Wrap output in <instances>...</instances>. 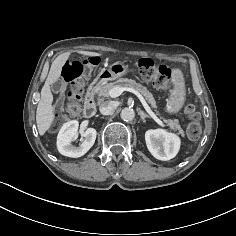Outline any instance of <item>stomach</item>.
Wrapping results in <instances>:
<instances>
[{
	"label": "stomach",
	"instance_id": "1",
	"mask_svg": "<svg viewBox=\"0 0 236 236\" xmlns=\"http://www.w3.org/2000/svg\"><path fill=\"white\" fill-rule=\"evenodd\" d=\"M128 73V66L122 62H115L108 68H103L98 77L102 81L115 80ZM182 75L180 71L175 70L173 75V82L175 85L174 90L171 92L167 100L165 111L169 114H176L184 105L185 93L182 86Z\"/></svg>",
	"mask_w": 236,
	"mask_h": 236
}]
</instances>
